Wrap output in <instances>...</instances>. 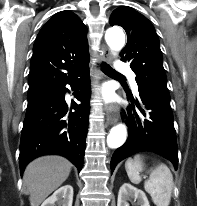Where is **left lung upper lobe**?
Wrapping results in <instances>:
<instances>
[{"instance_id": "obj_1", "label": "left lung upper lobe", "mask_w": 197, "mask_h": 206, "mask_svg": "<svg viewBox=\"0 0 197 206\" xmlns=\"http://www.w3.org/2000/svg\"><path fill=\"white\" fill-rule=\"evenodd\" d=\"M110 25H119L127 33L121 57L130 62L138 90L170 101L159 39L151 22L134 9L122 6L111 14Z\"/></svg>"}]
</instances>
